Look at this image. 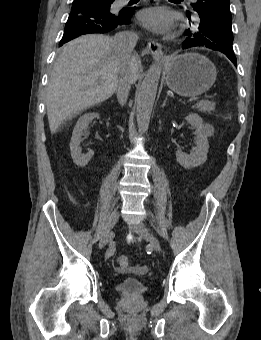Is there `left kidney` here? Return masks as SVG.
<instances>
[{"mask_svg": "<svg viewBox=\"0 0 261 340\" xmlns=\"http://www.w3.org/2000/svg\"><path fill=\"white\" fill-rule=\"evenodd\" d=\"M185 120L196 128V147H193L189 155L178 149L176 151V158L181 166L186 169H192L200 166L207 160L209 144L202 118L198 114H189L185 117Z\"/></svg>", "mask_w": 261, "mask_h": 340, "instance_id": "obj_1", "label": "left kidney"}]
</instances>
